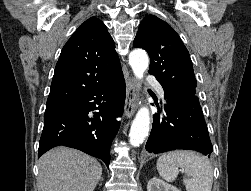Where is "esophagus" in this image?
<instances>
[{
    "instance_id": "1",
    "label": "esophagus",
    "mask_w": 251,
    "mask_h": 191,
    "mask_svg": "<svg viewBox=\"0 0 251 191\" xmlns=\"http://www.w3.org/2000/svg\"><path fill=\"white\" fill-rule=\"evenodd\" d=\"M139 92V85L135 78L130 77L128 88L126 91V99H125V116L130 118L137 110V95Z\"/></svg>"
}]
</instances>
